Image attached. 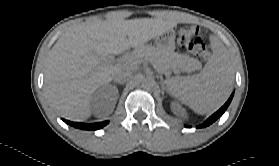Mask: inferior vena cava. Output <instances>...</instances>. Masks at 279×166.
<instances>
[{
	"mask_svg": "<svg viewBox=\"0 0 279 166\" xmlns=\"http://www.w3.org/2000/svg\"><path fill=\"white\" fill-rule=\"evenodd\" d=\"M133 71L129 67H121L114 75V80L116 82H124L132 77Z\"/></svg>",
	"mask_w": 279,
	"mask_h": 166,
	"instance_id": "1",
	"label": "inferior vena cava"
}]
</instances>
